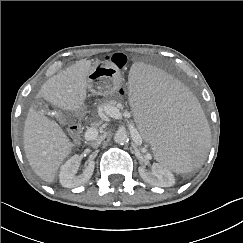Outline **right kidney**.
Instances as JSON below:
<instances>
[{
	"instance_id": "1",
	"label": "right kidney",
	"mask_w": 243,
	"mask_h": 243,
	"mask_svg": "<svg viewBox=\"0 0 243 243\" xmlns=\"http://www.w3.org/2000/svg\"><path fill=\"white\" fill-rule=\"evenodd\" d=\"M79 162L80 157L74 155L61 166L59 180L63 187L74 188L88 182L91 178L95 166L93 159L88 160V164L82 174L76 175L79 168Z\"/></svg>"
}]
</instances>
